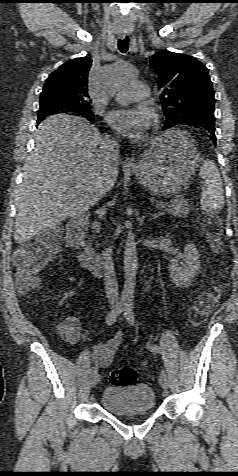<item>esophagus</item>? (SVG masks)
Wrapping results in <instances>:
<instances>
[{
  "mask_svg": "<svg viewBox=\"0 0 238 476\" xmlns=\"http://www.w3.org/2000/svg\"><path fill=\"white\" fill-rule=\"evenodd\" d=\"M124 164H125L126 166H133V165H134V160H133L132 158H130V157H126V158L124 159Z\"/></svg>",
  "mask_w": 238,
  "mask_h": 476,
  "instance_id": "1",
  "label": "esophagus"
}]
</instances>
